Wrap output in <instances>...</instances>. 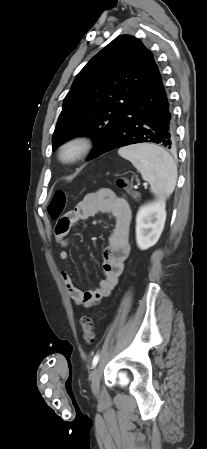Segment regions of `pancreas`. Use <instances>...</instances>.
Returning <instances> with one entry per match:
<instances>
[{"label":"pancreas","mask_w":207,"mask_h":449,"mask_svg":"<svg viewBox=\"0 0 207 449\" xmlns=\"http://www.w3.org/2000/svg\"><path fill=\"white\" fill-rule=\"evenodd\" d=\"M131 195H132V197L135 198V199H136L137 197H140V194L137 193V192L131 193Z\"/></svg>","instance_id":"cf45deb5"}]
</instances>
